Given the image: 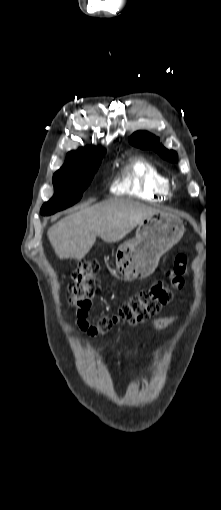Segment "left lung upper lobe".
I'll list each match as a JSON object with an SVG mask.
<instances>
[{
    "mask_svg": "<svg viewBox=\"0 0 221 510\" xmlns=\"http://www.w3.org/2000/svg\"><path fill=\"white\" fill-rule=\"evenodd\" d=\"M130 143L142 149H153L164 159L177 162L178 156L175 151H169L159 143V139L146 131L135 132L129 139Z\"/></svg>",
    "mask_w": 221,
    "mask_h": 510,
    "instance_id": "left-lung-upper-lobe-1",
    "label": "left lung upper lobe"
}]
</instances>
